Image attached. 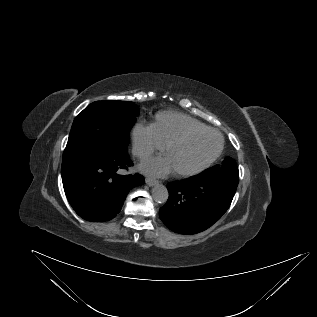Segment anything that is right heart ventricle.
Here are the masks:
<instances>
[{
  "label": "right heart ventricle",
  "mask_w": 317,
  "mask_h": 317,
  "mask_svg": "<svg viewBox=\"0 0 317 317\" xmlns=\"http://www.w3.org/2000/svg\"><path fill=\"white\" fill-rule=\"evenodd\" d=\"M201 127H205V125L186 114L176 111L158 112L151 123L155 136L163 146L183 131Z\"/></svg>",
  "instance_id": "right-heart-ventricle-1"
}]
</instances>
